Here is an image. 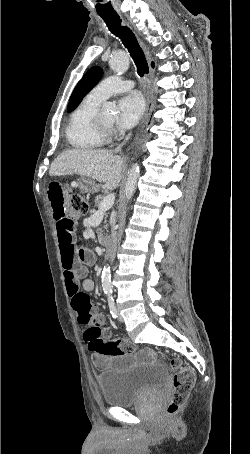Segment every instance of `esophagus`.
I'll use <instances>...</instances> for the list:
<instances>
[{
	"label": "esophagus",
	"mask_w": 250,
	"mask_h": 454,
	"mask_svg": "<svg viewBox=\"0 0 250 454\" xmlns=\"http://www.w3.org/2000/svg\"><path fill=\"white\" fill-rule=\"evenodd\" d=\"M140 42V45L142 47V49L144 50L145 52V55L147 57V60H148V63H149V68H150V74L148 76V80H147V84H146V102H147V107H146V113H145V116H144V123L147 122L152 110H153V107H154V103L152 101V98H151V80L153 78V74H154V70H155V65L149 55V52L146 48V46L144 45V43L139 40Z\"/></svg>",
	"instance_id": "esophagus-1"
}]
</instances>
